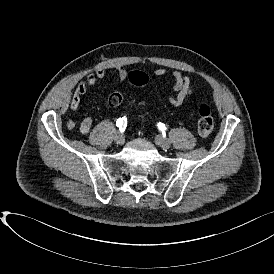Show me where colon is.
<instances>
[{
  "label": "colon",
  "instance_id": "5ec220e1",
  "mask_svg": "<svg viewBox=\"0 0 274 274\" xmlns=\"http://www.w3.org/2000/svg\"><path fill=\"white\" fill-rule=\"evenodd\" d=\"M130 82L136 86H143L148 81V76L146 73L138 70L131 71L128 74ZM124 98V93L121 90H116L113 94L107 97V102L113 106L117 107L121 104ZM75 125L74 120L70 119L67 122V127L72 129ZM198 131L201 134H210L213 129V117L211 114L210 107L207 104H201L198 109Z\"/></svg>",
  "mask_w": 274,
  "mask_h": 274
}]
</instances>
